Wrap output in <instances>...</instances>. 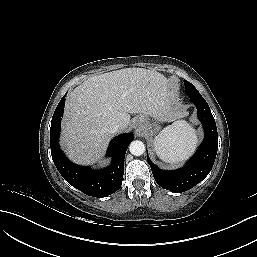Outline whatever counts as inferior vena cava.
<instances>
[{
	"label": "inferior vena cava",
	"instance_id": "1",
	"mask_svg": "<svg viewBox=\"0 0 257 257\" xmlns=\"http://www.w3.org/2000/svg\"><path fill=\"white\" fill-rule=\"evenodd\" d=\"M121 126L119 124H113L109 127V131L113 134L120 130Z\"/></svg>",
	"mask_w": 257,
	"mask_h": 257
}]
</instances>
